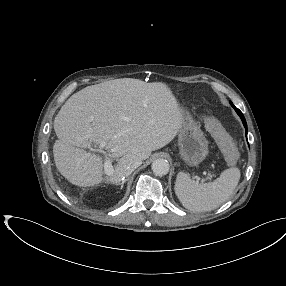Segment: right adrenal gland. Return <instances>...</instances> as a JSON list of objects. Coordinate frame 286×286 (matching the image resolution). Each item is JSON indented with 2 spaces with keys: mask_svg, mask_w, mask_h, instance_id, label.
Returning <instances> with one entry per match:
<instances>
[{
  "mask_svg": "<svg viewBox=\"0 0 286 286\" xmlns=\"http://www.w3.org/2000/svg\"><path fill=\"white\" fill-rule=\"evenodd\" d=\"M124 183H125V180H123V181L120 183V185H121V189L123 188Z\"/></svg>",
  "mask_w": 286,
  "mask_h": 286,
  "instance_id": "obj_1",
  "label": "right adrenal gland"
}]
</instances>
